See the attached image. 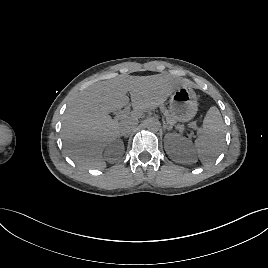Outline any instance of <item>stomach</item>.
<instances>
[{"label": "stomach", "mask_w": 268, "mask_h": 268, "mask_svg": "<svg viewBox=\"0 0 268 268\" xmlns=\"http://www.w3.org/2000/svg\"><path fill=\"white\" fill-rule=\"evenodd\" d=\"M198 111V102L194 90L183 85L171 95L169 114L175 122H188Z\"/></svg>", "instance_id": "obj_1"}]
</instances>
